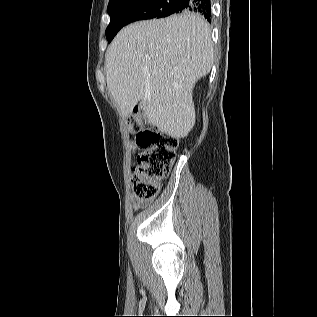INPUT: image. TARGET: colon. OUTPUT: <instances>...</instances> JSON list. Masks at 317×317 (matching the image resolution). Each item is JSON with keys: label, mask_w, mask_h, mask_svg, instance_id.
Masks as SVG:
<instances>
[{"label": "colon", "mask_w": 317, "mask_h": 317, "mask_svg": "<svg viewBox=\"0 0 317 317\" xmlns=\"http://www.w3.org/2000/svg\"><path fill=\"white\" fill-rule=\"evenodd\" d=\"M128 126L135 134L134 148L139 151L136 173L132 179L134 197L145 202L157 195L161 181L168 175L176 156L178 140L153 128L140 117L138 110L129 119Z\"/></svg>", "instance_id": "colon-1"}]
</instances>
